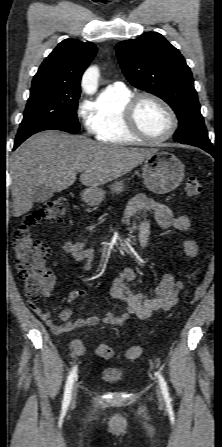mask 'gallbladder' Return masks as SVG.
Masks as SVG:
<instances>
[{"label": "gallbladder", "mask_w": 222, "mask_h": 447, "mask_svg": "<svg viewBox=\"0 0 222 447\" xmlns=\"http://www.w3.org/2000/svg\"><path fill=\"white\" fill-rule=\"evenodd\" d=\"M53 193H54L53 191H51L50 189L46 188L45 186H41V187H39L35 191L34 202H36V203L46 202L47 200H49L53 196Z\"/></svg>", "instance_id": "gallbladder-1"}]
</instances>
